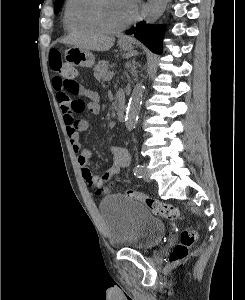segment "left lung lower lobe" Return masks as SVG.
I'll return each mask as SVG.
<instances>
[{
	"instance_id": "0a47b994",
	"label": "left lung lower lobe",
	"mask_w": 245,
	"mask_h": 300,
	"mask_svg": "<svg viewBox=\"0 0 245 300\" xmlns=\"http://www.w3.org/2000/svg\"><path fill=\"white\" fill-rule=\"evenodd\" d=\"M164 31V25H149L145 22H141L136 27L129 29L126 34H134L135 37L150 50L160 54L163 47L162 40Z\"/></svg>"
}]
</instances>
